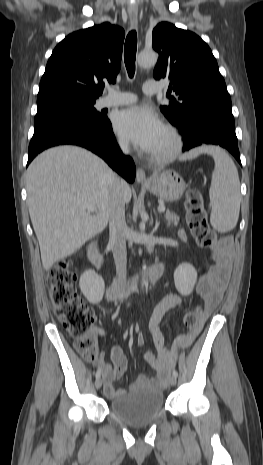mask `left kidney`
Segmentation results:
<instances>
[{
  "instance_id": "obj_1",
  "label": "left kidney",
  "mask_w": 263,
  "mask_h": 465,
  "mask_svg": "<svg viewBox=\"0 0 263 465\" xmlns=\"http://www.w3.org/2000/svg\"><path fill=\"white\" fill-rule=\"evenodd\" d=\"M197 280V272L190 264L179 265L174 272L175 287L183 296L192 293Z\"/></svg>"
}]
</instances>
